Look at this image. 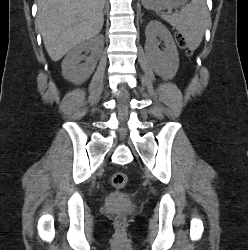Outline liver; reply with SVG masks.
Masks as SVG:
<instances>
[{"label": "liver", "instance_id": "1", "mask_svg": "<svg viewBox=\"0 0 248 250\" xmlns=\"http://www.w3.org/2000/svg\"><path fill=\"white\" fill-rule=\"evenodd\" d=\"M104 4L105 0H37L36 23L53 61L101 31Z\"/></svg>", "mask_w": 248, "mask_h": 250}]
</instances>
